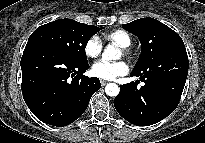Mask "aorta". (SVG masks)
Returning <instances> with one entry per match:
<instances>
[{
  "label": "aorta",
  "instance_id": "aorta-1",
  "mask_svg": "<svg viewBox=\"0 0 205 143\" xmlns=\"http://www.w3.org/2000/svg\"><path fill=\"white\" fill-rule=\"evenodd\" d=\"M120 57V51L113 45H108L102 53V59L104 61L116 60ZM105 92L108 96H117L119 94V87L115 83H108L105 87Z\"/></svg>",
  "mask_w": 205,
  "mask_h": 143
}]
</instances>
